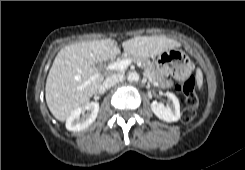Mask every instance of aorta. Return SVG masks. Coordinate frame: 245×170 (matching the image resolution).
I'll return each mask as SVG.
<instances>
[{
	"instance_id": "1",
	"label": "aorta",
	"mask_w": 245,
	"mask_h": 170,
	"mask_svg": "<svg viewBox=\"0 0 245 170\" xmlns=\"http://www.w3.org/2000/svg\"><path fill=\"white\" fill-rule=\"evenodd\" d=\"M139 78H140L139 75L134 72L129 73L127 77L129 82H138Z\"/></svg>"
}]
</instances>
